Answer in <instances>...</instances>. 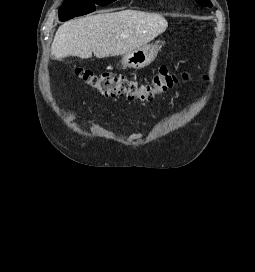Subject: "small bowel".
Returning a JSON list of instances; mask_svg holds the SVG:
<instances>
[{"mask_svg":"<svg viewBox=\"0 0 255 272\" xmlns=\"http://www.w3.org/2000/svg\"><path fill=\"white\" fill-rule=\"evenodd\" d=\"M143 138L142 134H133L129 137V141H137L139 139Z\"/></svg>","mask_w":255,"mask_h":272,"instance_id":"obj_1","label":"small bowel"}]
</instances>
